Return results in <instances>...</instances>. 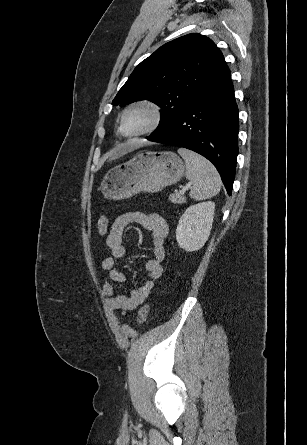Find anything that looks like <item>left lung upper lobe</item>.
Listing matches in <instances>:
<instances>
[{
  "instance_id": "obj_1",
  "label": "left lung upper lobe",
  "mask_w": 307,
  "mask_h": 445,
  "mask_svg": "<svg viewBox=\"0 0 307 445\" xmlns=\"http://www.w3.org/2000/svg\"><path fill=\"white\" fill-rule=\"evenodd\" d=\"M230 73L212 40L188 34L168 42L143 60L119 90L112 104L150 100L162 118L150 136L168 128L189 106Z\"/></svg>"
}]
</instances>
